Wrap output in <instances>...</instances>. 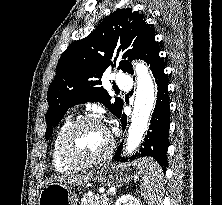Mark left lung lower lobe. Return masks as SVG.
Returning <instances> with one entry per match:
<instances>
[{
	"label": "left lung lower lobe",
	"mask_w": 222,
	"mask_h": 205,
	"mask_svg": "<svg viewBox=\"0 0 222 205\" xmlns=\"http://www.w3.org/2000/svg\"><path fill=\"white\" fill-rule=\"evenodd\" d=\"M159 45L155 41V34L153 33L147 40L139 58L144 59L147 64H150V69L153 72L157 84V101L154 113L151 118V125L149 131L144 138L143 147L130 158L134 160L137 158L151 156L164 167L167 165L166 154L169 146L168 133L170 128V106H169V93H168V78L164 73L165 64L159 56ZM138 58V59H139ZM133 74V69L129 72ZM121 119L123 130L126 128V115L121 111L118 116ZM123 147V141L118 147L114 155L115 161H126L127 158H121L120 152Z\"/></svg>",
	"instance_id": "0a47b994"
}]
</instances>
